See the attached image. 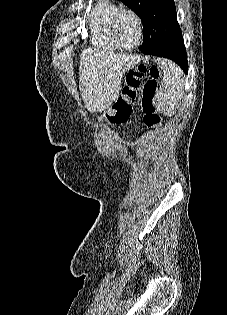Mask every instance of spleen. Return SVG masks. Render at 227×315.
Returning <instances> with one entry per match:
<instances>
[{
    "label": "spleen",
    "mask_w": 227,
    "mask_h": 315,
    "mask_svg": "<svg viewBox=\"0 0 227 315\" xmlns=\"http://www.w3.org/2000/svg\"><path fill=\"white\" fill-rule=\"evenodd\" d=\"M164 72L162 85L156 94V105L159 111L166 115L175 113L176 105L183 95L184 81L182 73L172 63L158 60Z\"/></svg>",
    "instance_id": "3e777b00"
}]
</instances>
